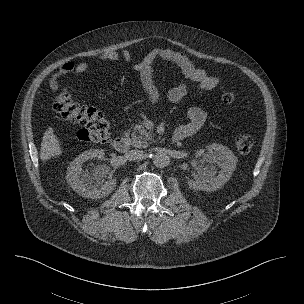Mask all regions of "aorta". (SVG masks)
I'll list each match as a JSON object with an SVG mask.
<instances>
[{
	"mask_svg": "<svg viewBox=\"0 0 304 304\" xmlns=\"http://www.w3.org/2000/svg\"><path fill=\"white\" fill-rule=\"evenodd\" d=\"M153 164L158 168H164L169 165L170 158L163 152H158L153 157Z\"/></svg>",
	"mask_w": 304,
	"mask_h": 304,
	"instance_id": "aorta-1",
	"label": "aorta"
}]
</instances>
